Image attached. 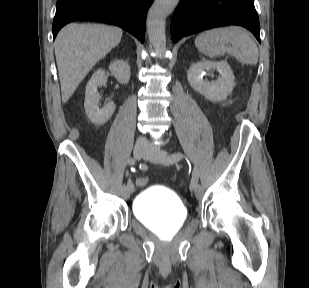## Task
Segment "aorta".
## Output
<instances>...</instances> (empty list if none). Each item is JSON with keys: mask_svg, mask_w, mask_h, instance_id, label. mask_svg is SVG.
<instances>
[{"mask_svg": "<svg viewBox=\"0 0 309 288\" xmlns=\"http://www.w3.org/2000/svg\"><path fill=\"white\" fill-rule=\"evenodd\" d=\"M179 0H155L147 16V32L150 43L158 51L166 48V18L174 11Z\"/></svg>", "mask_w": 309, "mask_h": 288, "instance_id": "1", "label": "aorta"}]
</instances>
